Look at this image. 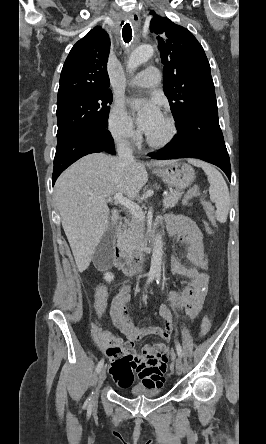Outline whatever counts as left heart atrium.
Listing matches in <instances>:
<instances>
[{
  "mask_svg": "<svg viewBox=\"0 0 266 444\" xmlns=\"http://www.w3.org/2000/svg\"><path fill=\"white\" fill-rule=\"evenodd\" d=\"M133 109L137 113V121L140 128L148 134L163 118L157 101L133 102Z\"/></svg>",
  "mask_w": 266,
  "mask_h": 444,
  "instance_id": "obj_1",
  "label": "left heart atrium"
}]
</instances>
